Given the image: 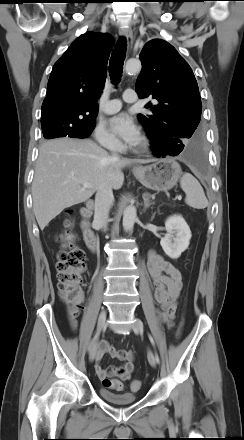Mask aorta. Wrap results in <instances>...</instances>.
<instances>
[{
	"mask_svg": "<svg viewBox=\"0 0 244 440\" xmlns=\"http://www.w3.org/2000/svg\"><path fill=\"white\" fill-rule=\"evenodd\" d=\"M141 69V63L138 60H129L125 65V70L128 73H136ZM137 216L136 208L129 205L125 208L123 213V228L125 231L132 230Z\"/></svg>",
	"mask_w": 244,
	"mask_h": 440,
	"instance_id": "aorta-1",
	"label": "aorta"
}]
</instances>
